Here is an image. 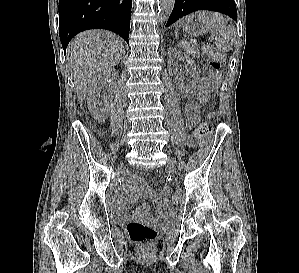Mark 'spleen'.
Here are the masks:
<instances>
[{"label":"spleen","mask_w":299,"mask_h":273,"mask_svg":"<svg viewBox=\"0 0 299 273\" xmlns=\"http://www.w3.org/2000/svg\"><path fill=\"white\" fill-rule=\"evenodd\" d=\"M194 17H198L208 27L212 33L211 40L215 42L217 48L223 52H228L231 49L232 42L236 37V29L232 25H228L223 16L214 12L201 11L185 17L180 24L190 21Z\"/></svg>","instance_id":"3e777b00"}]
</instances>
